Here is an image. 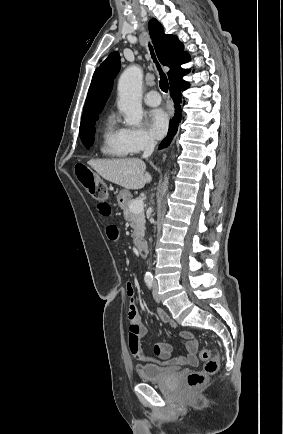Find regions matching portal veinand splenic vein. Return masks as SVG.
<instances>
[{
	"instance_id": "obj_1",
	"label": "portal vein and splenic vein",
	"mask_w": 283,
	"mask_h": 434,
	"mask_svg": "<svg viewBox=\"0 0 283 434\" xmlns=\"http://www.w3.org/2000/svg\"><path fill=\"white\" fill-rule=\"evenodd\" d=\"M130 211L134 213H139L143 211L144 208V202L142 199L136 200L133 203L130 204Z\"/></svg>"
}]
</instances>
